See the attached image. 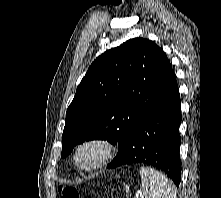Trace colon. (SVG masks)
I'll return each mask as SVG.
<instances>
[{
    "instance_id": "obj_1",
    "label": "colon",
    "mask_w": 221,
    "mask_h": 198,
    "mask_svg": "<svg viewBox=\"0 0 221 198\" xmlns=\"http://www.w3.org/2000/svg\"><path fill=\"white\" fill-rule=\"evenodd\" d=\"M59 191L61 193L62 198H83L79 191L74 187L61 186L59 188Z\"/></svg>"
}]
</instances>
